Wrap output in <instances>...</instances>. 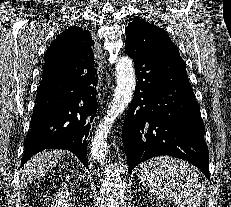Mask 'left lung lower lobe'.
<instances>
[{
	"instance_id": "obj_1",
	"label": "left lung lower lobe",
	"mask_w": 231,
	"mask_h": 207,
	"mask_svg": "<svg viewBox=\"0 0 231 207\" xmlns=\"http://www.w3.org/2000/svg\"><path fill=\"white\" fill-rule=\"evenodd\" d=\"M126 52L138 79L122 128L129 173L149 158L170 155L192 163L210 180L204 124L185 62L179 56Z\"/></svg>"
}]
</instances>
